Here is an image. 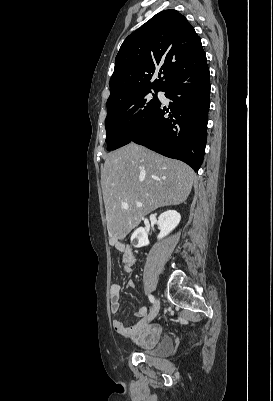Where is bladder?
<instances>
[{
	"mask_svg": "<svg viewBox=\"0 0 273 401\" xmlns=\"http://www.w3.org/2000/svg\"><path fill=\"white\" fill-rule=\"evenodd\" d=\"M175 342L171 336L165 335L160 340L158 345L151 351H146L145 355L152 358H163L174 352Z\"/></svg>",
	"mask_w": 273,
	"mask_h": 401,
	"instance_id": "obj_1",
	"label": "bladder"
}]
</instances>
